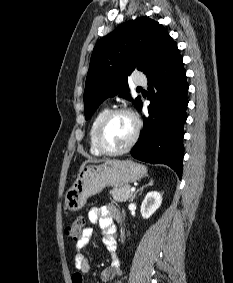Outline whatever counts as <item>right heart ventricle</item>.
<instances>
[{
  "mask_svg": "<svg viewBox=\"0 0 233 283\" xmlns=\"http://www.w3.org/2000/svg\"><path fill=\"white\" fill-rule=\"evenodd\" d=\"M109 109L107 107H103L100 109L96 115L93 117L91 125L89 127V133H88V143H89V150L90 153L94 156H101L102 153L97 149L95 144V133L97 130V127L103 117L108 113Z\"/></svg>",
  "mask_w": 233,
  "mask_h": 283,
  "instance_id": "right-heart-ventricle-1",
  "label": "right heart ventricle"
}]
</instances>
